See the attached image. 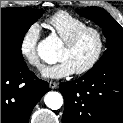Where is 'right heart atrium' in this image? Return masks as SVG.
I'll return each mask as SVG.
<instances>
[{"mask_svg":"<svg viewBox=\"0 0 123 123\" xmlns=\"http://www.w3.org/2000/svg\"><path fill=\"white\" fill-rule=\"evenodd\" d=\"M39 39V25L37 23H32L23 32L19 43V51L22 57L29 65L37 69L42 68V62L37 52Z\"/></svg>","mask_w":123,"mask_h":123,"instance_id":"right-heart-atrium-1","label":"right heart atrium"}]
</instances>
